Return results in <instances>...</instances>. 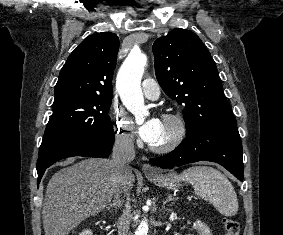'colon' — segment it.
I'll return each mask as SVG.
<instances>
[{
    "instance_id": "5ec220e1",
    "label": "colon",
    "mask_w": 283,
    "mask_h": 235,
    "mask_svg": "<svg viewBox=\"0 0 283 235\" xmlns=\"http://www.w3.org/2000/svg\"><path fill=\"white\" fill-rule=\"evenodd\" d=\"M222 225L225 230V235H239L240 225L239 222L230 217H224L222 219Z\"/></svg>"
}]
</instances>
